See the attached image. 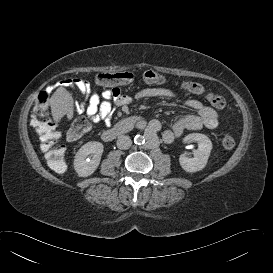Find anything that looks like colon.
Listing matches in <instances>:
<instances>
[{"instance_id": "5ec220e1", "label": "colon", "mask_w": 273, "mask_h": 273, "mask_svg": "<svg viewBox=\"0 0 273 273\" xmlns=\"http://www.w3.org/2000/svg\"><path fill=\"white\" fill-rule=\"evenodd\" d=\"M135 79H139L146 84H162L165 77L154 71L146 70L140 74L133 72H117V73H100L96 76L95 82L100 86L117 87L119 85H127ZM189 88L195 93H202L204 88L201 84L190 81ZM51 93L49 91H41L38 95L36 105L31 117V125L36 130L41 141V147L44 157L48 165L57 173H63L66 170L64 162L65 148L60 143L61 134L55 122L49 116V100ZM206 98L216 109H223L226 105L225 98L221 95L208 93ZM91 129V123L85 116L76 118L68 130L67 138L70 141L80 139ZM222 145L225 149H232L235 146V139L226 135L222 139Z\"/></svg>"}]
</instances>
